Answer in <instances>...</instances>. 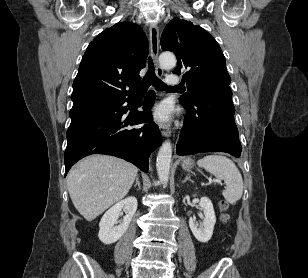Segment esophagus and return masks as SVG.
Here are the masks:
<instances>
[{"label": "esophagus", "mask_w": 308, "mask_h": 278, "mask_svg": "<svg viewBox=\"0 0 308 278\" xmlns=\"http://www.w3.org/2000/svg\"><path fill=\"white\" fill-rule=\"evenodd\" d=\"M150 32V50H151V57L154 61L156 73L158 76H163V70L159 67L157 62V57L159 53V29L156 24H150L149 27ZM159 129L161 131V134L164 137H170L171 130L168 125L165 124H159Z\"/></svg>", "instance_id": "obj_1"}]
</instances>
